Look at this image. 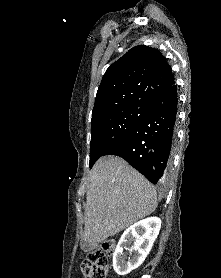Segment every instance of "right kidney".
I'll return each instance as SVG.
<instances>
[{
	"instance_id": "obj_1",
	"label": "right kidney",
	"mask_w": 221,
	"mask_h": 278,
	"mask_svg": "<svg viewBox=\"0 0 221 278\" xmlns=\"http://www.w3.org/2000/svg\"><path fill=\"white\" fill-rule=\"evenodd\" d=\"M160 227L161 220L158 217H149L126 229L113 254V268L118 275H127L143 263L152 249ZM124 249L130 252L128 261L123 253Z\"/></svg>"
}]
</instances>
